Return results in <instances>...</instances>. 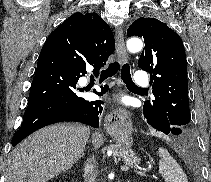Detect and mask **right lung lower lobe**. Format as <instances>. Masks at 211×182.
I'll return each mask as SVG.
<instances>
[{
	"instance_id": "1",
	"label": "right lung lower lobe",
	"mask_w": 211,
	"mask_h": 182,
	"mask_svg": "<svg viewBox=\"0 0 211 182\" xmlns=\"http://www.w3.org/2000/svg\"><path fill=\"white\" fill-rule=\"evenodd\" d=\"M67 28L65 24L56 28L40 52L28 106L22 125L13 137V146L34 131L57 122L75 121L99 127L103 102L79 97L76 83L87 73L86 66L92 65L97 71L101 67L82 51ZM101 89L102 92L94 90V93L102 96L108 86Z\"/></svg>"
}]
</instances>
